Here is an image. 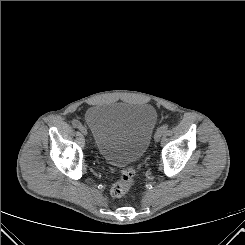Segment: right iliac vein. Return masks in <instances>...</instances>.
<instances>
[{
	"label": "right iliac vein",
	"instance_id": "1",
	"mask_svg": "<svg viewBox=\"0 0 245 245\" xmlns=\"http://www.w3.org/2000/svg\"><path fill=\"white\" fill-rule=\"evenodd\" d=\"M79 130L81 131L82 134L87 135V129L84 126H80Z\"/></svg>",
	"mask_w": 245,
	"mask_h": 245
}]
</instances>
